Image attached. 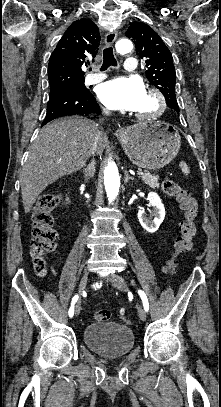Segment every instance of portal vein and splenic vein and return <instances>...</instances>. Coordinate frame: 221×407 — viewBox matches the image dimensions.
Listing matches in <instances>:
<instances>
[{
  "instance_id": "18ae733b",
  "label": "portal vein and splenic vein",
  "mask_w": 221,
  "mask_h": 407,
  "mask_svg": "<svg viewBox=\"0 0 221 407\" xmlns=\"http://www.w3.org/2000/svg\"><path fill=\"white\" fill-rule=\"evenodd\" d=\"M138 175H143V172L139 171L137 172Z\"/></svg>"
}]
</instances>
